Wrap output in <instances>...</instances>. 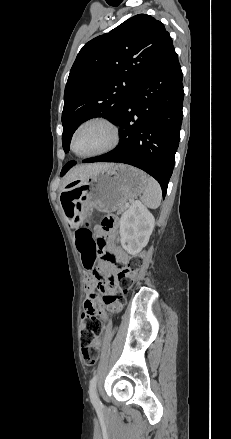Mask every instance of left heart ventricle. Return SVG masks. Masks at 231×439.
Masks as SVG:
<instances>
[{"label":"left heart ventricle","mask_w":231,"mask_h":439,"mask_svg":"<svg viewBox=\"0 0 231 439\" xmlns=\"http://www.w3.org/2000/svg\"><path fill=\"white\" fill-rule=\"evenodd\" d=\"M111 139L110 130L98 123L84 126L76 135L74 148L80 154L98 151L107 146Z\"/></svg>","instance_id":"1"}]
</instances>
